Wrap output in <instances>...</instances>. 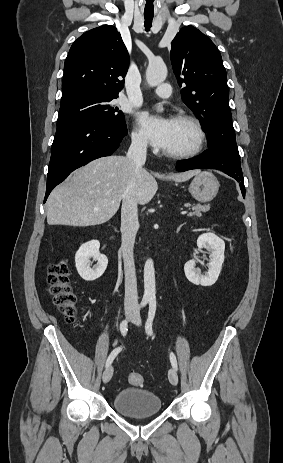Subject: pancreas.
<instances>
[{"instance_id":"obj_1","label":"pancreas","mask_w":283,"mask_h":463,"mask_svg":"<svg viewBox=\"0 0 283 463\" xmlns=\"http://www.w3.org/2000/svg\"><path fill=\"white\" fill-rule=\"evenodd\" d=\"M185 207H189L192 212H190L188 214V216H197V217H201L202 216V212H207L210 210V206L209 205H200V204H194V205H191L189 203H186L185 204Z\"/></svg>"}]
</instances>
